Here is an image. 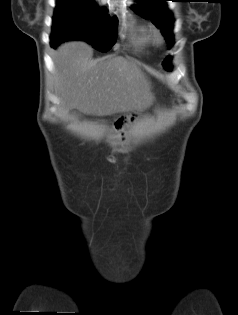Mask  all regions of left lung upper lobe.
Returning a JSON list of instances; mask_svg holds the SVG:
<instances>
[{
  "label": "left lung upper lobe",
  "instance_id": "5c2ea615",
  "mask_svg": "<svg viewBox=\"0 0 238 315\" xmlns=\"http://www.w3.org/2000/svg\"><path fill=\"white\" fill-rule=\"evenodd\" d=\"M140 2L139 7L132 6L133 10L152 22L161 29L167 43L173 39L172 27L174 19L171 12L168 11L165 2L169 0H135ZM171 57L163 61L166 70H170Z\"/></svg>",
  "mask_w": 238,
  "mask_h": 315
}]
</instances>
